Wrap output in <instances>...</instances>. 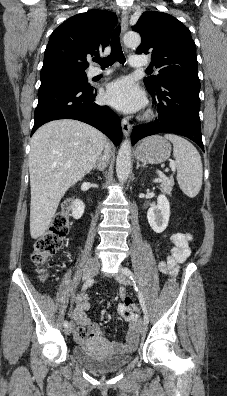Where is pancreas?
Returning a JSON list of instances; mask_svg holds the SVG:
<instances>
[{
    "mask_svg": "<svg viewBox=\"0 0 227 396\" xmlns=\"http://www.w3.org/2000/svg\"><path fill=\"white\" fill-rule=\"evenodd\" d=\"M174 186V179L173 178H164L161 181V190L166 193L167 195H171V191Z\"/></svg>",
    "mask_w": 227,
    "mask_h": 396,
    "instance_id": "cf45deb5",
    "label": "pancreas"
}]
</instances>
